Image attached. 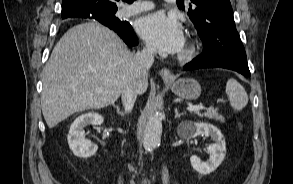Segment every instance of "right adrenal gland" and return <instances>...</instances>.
<instances>
[{
  "label": "right adrenal gland",
  "instance_id": "obj_1",
  "mask_svg": "<svg viewBox=\"0 0 293 184\" xmlns=\"http://www.w3.org/2000/svg\"><path fill=\"white\" fill-rule=\"evenodd\" d=\"M116 108L117 114L124 115V112L120 110V107L118 105H113Z\"/></svg>",
  "mask_w": 293,
  "mask_h": 184
}]
</instances>
